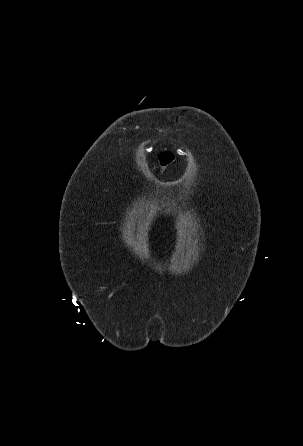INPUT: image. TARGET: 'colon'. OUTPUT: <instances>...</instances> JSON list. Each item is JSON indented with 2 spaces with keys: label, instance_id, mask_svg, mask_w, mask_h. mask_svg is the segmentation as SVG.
<instances>
[{
  "label": "colon",
  "instance_id": "colon-1",
  "mask_svg": "<svg viewBox=\"0 0 303 446\" xmlns=\"http://www.w3.org/2000/svg\"><path fill=\"white\" fill-rule=\"evenodd\" d=\"M175 161V156L172 152H162L159 155L160 170L163 172L171 163Z\"/></svg>",
  "mask_w": 303,
  "mask_h": 446
}]
</instances>
